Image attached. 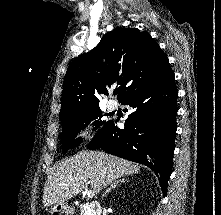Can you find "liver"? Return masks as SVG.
<instances>
[{
  "instance_id": "6515ba94",
  "label": "liver",
  "mask_w": 221,
  "mask_h": 215,
  "mask_svg": "<svg viewBox=\"0 0 221 215\" xmlns=\"http://www.w3.org/2000/svg\"><path fill=\"white\" fill-rule=\"evenodd\" d=\"M138 164L98 151H82L58 163L44 185L45 207L64 203L83 192L88 184L99 192L116 179L138 174Z\"/></svg>"
}]
</instances>
